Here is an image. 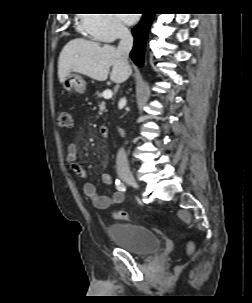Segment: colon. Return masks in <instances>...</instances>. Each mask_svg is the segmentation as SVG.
I'll list each match as a JSON object with an SVG mask.
<instances>
[{"mask_svg":"<svg viewBox=\"0 0 252 303\" xmlns=\"http://www.w3.org/2000/svg\"><path fill=\"white\" fill-rule=\"evenodd\" d=\"M72 124L71 120V115L67 111H61L59 114V125L61 127H70ZM113 218L116 220H124V221H130L133 220L134 217L131 216L128 212L126 211H115L113 213ZM192 250L191 247H189L188 251L190 252Z\"/></svg>","mask_w":252,"mask_h":303,"instance_id":"colon-1","label":"colon"}]
</instances>
